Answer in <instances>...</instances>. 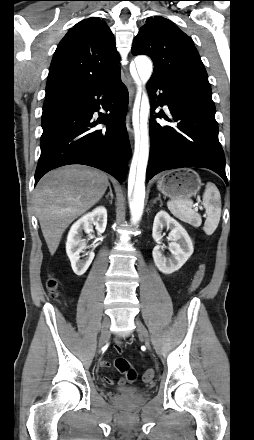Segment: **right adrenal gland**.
Instances as JSON below:
<instances>
[{
    "label": "right adrenal gland",
    "instance_id": "right-adrenal-gland-1",
    "mask_svg": "<svg viewBox=\"0 0 254 440\" xmlns=\"http://www.w3.org/2000/svg\"><path fill=\"white\" fill-rule=\"evenodd\" d=\"M108 186H109V193L105 196V198L108 199L110 197L111 198L110 203H112L114 196H113V192H112V188H111L110 183L108 184Z\"/></svg>",
    "mask_w": 254,
    "mask_h": 440
}]
</instances>
